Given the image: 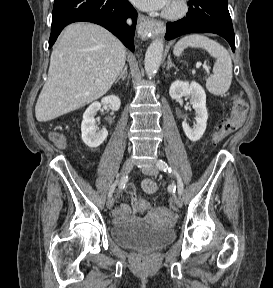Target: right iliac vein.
Instances as JSON below:
<instances>
[{"label":"right iliac vein","instance_id":"1","mask_svg":"<svg viewBox=\"0 0 273 288\" xmlns=\"http://www.w3.org/2000/svg\"><path fill=\"white\" fill-rule=\"evenodd\" d=\"M133 166H134L133 159H127L122 166L121 175L128 174L133 169ZM113 206H114V199H113V197H110L107 201V207L109 209H111V208H113Z\"/></svg>","mask_w":273,"mask_h":288}]
</instances>
